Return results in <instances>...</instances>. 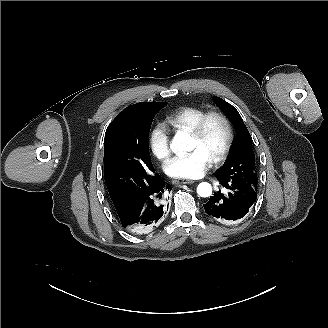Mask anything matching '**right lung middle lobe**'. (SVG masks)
I'll return each instance as SVG.
<instances>
[{
  "mask_svg": "<svg viewBox=\"0 0 328 328\" xmlns=\"http://www.w3.org/2000/svg\"><path fill=\"white\" fill-rule=\"evenodd\" d=\"M167 103L130 105L110 123L104 139V179L115 208L142 197L156 181L149 153L155 114Z\"/></svg>",
  "mask_w": 328,
  "mask_h": 328,
  "instance_id": "1",
  "label": "right lung middle lobe"
}]
</instances>
